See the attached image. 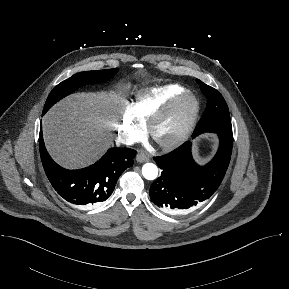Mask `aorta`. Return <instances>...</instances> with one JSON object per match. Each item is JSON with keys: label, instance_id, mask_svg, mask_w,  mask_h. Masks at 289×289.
I'll return each mask as SVG.
<instances>
[{"label": "aorta", "instance_id": "1", "mask_svg": "<svg viewBox=\"0 0 289 289\" xmlns=\"http://www.w3.org/2000/svg\"><path fill=\"white\" fill-rule=\"evenodd\" d=\"M142 174L147 180H154L158 176V168L153 163H146L142 167Z\"/></svg>", "mask_w": 289, "mask_h": 289}]
</instances>
